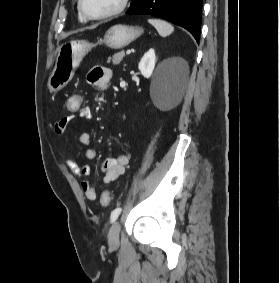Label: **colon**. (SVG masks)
<instances>
[{
	"instance_id": "colon-1",
	"label": "colon",
	"mask_w": 280,
	"mask_h": 283,
	"mask_svg": "<svg viewBox=\"0 0 280 283\" xmlns=\"http://www.w3.org/2000/svg\"><path fill=\"white\" fill-rule=\"evenodd\" d=\"M66 110L67 112H80L82 108V102H84V97L82 94H78L77 91H74L73 94H68L66 98ZM111 200V194L109 190L103 191L100 199V203L103 207H107Z\"/></svg>"
}]
</instances>
